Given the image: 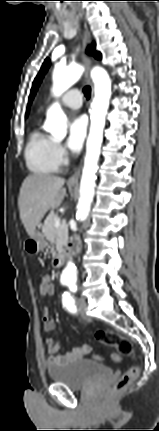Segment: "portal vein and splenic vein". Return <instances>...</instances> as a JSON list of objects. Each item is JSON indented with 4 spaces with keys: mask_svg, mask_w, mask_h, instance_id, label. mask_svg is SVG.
Instances as JSON below:
<instances>
[{
    "mask_svg": "<svg viewBox=\"0 0 159 431\" xmlns=\"http://www.w3.org/2000/svg\"><path fill=\"white\" fill-rule=\"evenodd\" d=\"M55 226L59 227L60 226V218H56L55 219Z\"/></svg>",
    "mask_w": 159,
    "mask_h": 431,
    "instance_id": "portal-vein-and-splenic-vein-1",
    "label": "portal vein and splenic vein"
}]
</instances>
